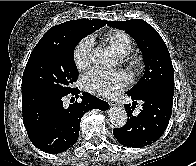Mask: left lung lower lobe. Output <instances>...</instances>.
Here are the masks:
<instances>
[{"label": "left lung lower lobe", "mask_w": 196, "mask_h": 166, "mask_svg": "<svg viewBox=\"0 0 196 166\" xmlns=\"http://www.w3.org/2000/svg\"><path fill=\"white\" fill-rule=\"evenodd\" d=\"M131 97L132 106L125 105L128 121L123 127L114 128L113 134L120 144L140 148L154 143L164 133L171 118L173 95L155 91ZM137 100L143 101L142 110L133 116Z\"/></svg>", "instance_id": "0a47b994"}]
</instances>
